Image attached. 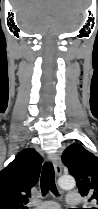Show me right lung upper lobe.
Wrapping results in <instances>:
<instances>
[{"label":"right lung upper lobe","mask_w":98,"mask_h":209,"mask_svg":"<svg viewBox=\"0 0 98 209\" xmlns=\"http://www.w3.org/2000/svg\"><path fill=\"white\" fill-rule=\"evenodd\" d=\"M42 162L34 149H24L0 171V209H28L25 205L38 182Z\"/></svg>","instance_id":"right-lung-upper-lobe-1"}]
</instances>
